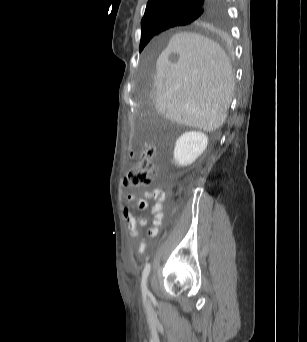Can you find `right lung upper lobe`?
<instances>
[{
	"label": "right lung upper lobe",
	"mask_w": 307,
	"mask_h": 342,
	"mask_svg": "<svg viewBox=\"0 0 307 342\" xmlns=\"http://www.w3.org/2000/svg\"><path fill=\"white\" fill-rule=\"evenodd\" d=\"M184 9L201 11L200 16L187 25L203 33H219L223 16V2L220 0H149L141 21L142 30L154 25L162 13Z\"/></svg>",
	"instance_id": "right-lung-upper-lobe-1"
}]
</instances>
